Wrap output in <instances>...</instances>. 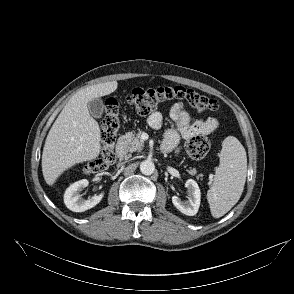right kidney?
Masks as SVG:
<instances>
[{
    "mask_svg": "<svg viewBox=\"0 0 294 294\" xmlns=\"http://www.w3.org/2000/svg\"><path fill=\"white\" fill-rule=\"evenodd\" d=\"M89 182L86 179H82L71 184L64 193V203L68 209L74 212H84L88 209L96 206L103 198L104 193L95 195L87 200H84L80 191L88 186Z\"/></svg>",
    "mask_w": 294,
    "mask_h": 294,
    "instance_id": "obj_1",
    "label": "right kidney"
}]
</instances>
